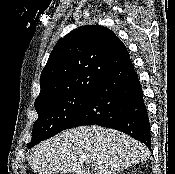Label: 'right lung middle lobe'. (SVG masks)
<instances>
[{
  "mask_svg": "<svg viewBox=\"0 0 175 174\" xmlns=\"http://www.w3.org/2000/svg\"><path fill=\"white\" fill-rule=\"evenodd\" d=\"M94 85L69 90L34 104L38 114L32 130V140L27 145L33 147L68 128L80 112Z\"/></svg>",
  "mask_w": 175,
  "mask_h": 174,
  "instance_id": "obj_1",
  "label": "right lung middle lobe"
}]
</instances>
